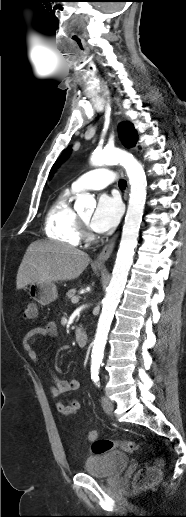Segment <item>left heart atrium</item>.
<instances>
[{
  "label": "left heart atrium",
  "mask_w": 186,
  "mask_h": 517,
  "mask_svg": "<svg viewBox=\"0 0 186 517\" xmlns=\"http://www.w3.org/2000/svg\"><path fill=\"white\" fill-rule=\"evenodd\" d=\"M122 214V204L115 196H100L96 209L91 218V227L99 233L113 229Z\"/></svg>",
  "instance_id": "left-heart-atrium-1"
}]
</instances>
